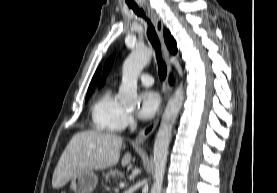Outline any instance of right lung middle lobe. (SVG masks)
Segmentation results:
<instances>
[{
	"label": "right lung middle lobe",
	"mask_w": 277,
	"mask_h": 193,
	"mask_svg": "<svg viewBox=\"0 0 277 193\" xmlns=\"http://www.w3.org/2000/svg\"><path fill=\"white\" fill-rule=\"evenodd\" d=\"M91 94H87L86 96V101L88 100V98L90 97Z\"/></svg>",
	"instance_id": "1"
}]
</instances>
